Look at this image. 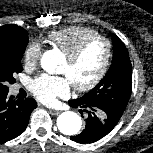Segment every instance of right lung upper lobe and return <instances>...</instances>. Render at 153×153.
I'll return each mask as SVG.
<instances>
[{"label":"right lung upper lobe","mask_w":153,"mask_h":153,"mask_svg":"<svg viewBox=\"0 0 153 153\" xmlns=\"http://www.w3.org/2000/svg\"><path fill=\"white\" fill-rule=\"evenodd\" d=\"M28 35L27 31L17 25H4L0 27V39H14Z\"/></svg>","instance_id":"obj_1"}]
</instances>
